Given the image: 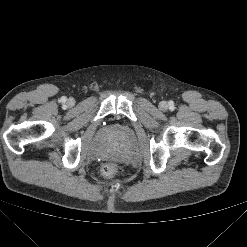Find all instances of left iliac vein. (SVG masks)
<instances>
[{
	"label": "left iliac vein",
	"instance_id": "4c4485c4",
	"mask_svg": "<svg viewBox=\"0 0 247 247\" xmlns=\"http://www.w3.org/2000/svg\"><path fill=\"white\" fill-rule=\"evenodd\" d=\"M159 108H160L162 111H166V110L168 109V103H167L166 101L160 102Z\"/></svg>",
	"mask_w": 247,
	"mask_h": 247
}]
</instances>
